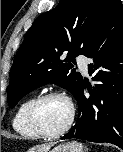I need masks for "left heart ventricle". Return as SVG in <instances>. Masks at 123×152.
<instances>
[{"mask_svg": "<svg viewBox=\"0 0 123 152\" xmlns=\"http://www.w3.org/2000/svg\"><path fill=\"white\" fill-rule=\"evenodd\" d=\"M69 115L70 108L67 102L59 98H52L41 105L38 119L44 130L55 132L65 126Z\"/></svg>", "mask_w": 123, "mask_h": 152, "instance_id": "b2bd125f", "label": "left heart ventricle"}]
</instances>
